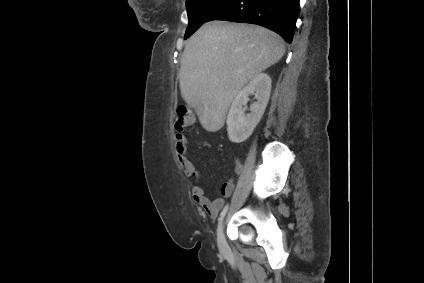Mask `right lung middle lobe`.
<instances>
[{
	"mask_svg": "<svg viewBox=\"0 0 424 283\" xmlns=\"http://www.w3.org/2000/svg\"><path fill=\"white\" fill-rule=\"evenodd\" d=\"M229 0H186L188 27L184 38L191 36L203 23Z\"/></svg>",
	"mask_w": 424,
	"mask_h": 283,
	"instance_id": "right-lung-middle-lobe-1",
	"label": "right lung middle lobe"
}]
</instances>
